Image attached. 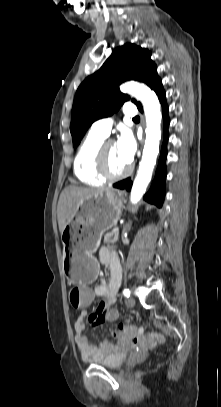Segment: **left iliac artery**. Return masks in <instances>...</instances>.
<instances>
[{"label": "left iliac artery", "instance_id": "1", "mask_svg": "<svg viewBox=\"0 0 221 407\" xmlns=\"http://www.w3.org/2000/svg\"><path fill=\"white\" fill-rule=\"evenodd\" d=\"M123 295H124V297H129L130 296V291H129V289H124L123 290Z\"/></svg>", "mask_w": 221, "mask_h": 407}]
</instances>
